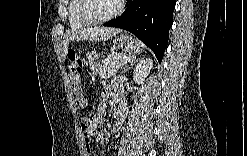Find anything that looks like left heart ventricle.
Returning a JSON list of instances; mask_svg holds the SVG:
<instances>
[{
  "label": "left heart ventricle",
  "instance_id": "obj_1",
  "mask_svg": "<svg viewBox=\"0 0 247 156\" xmlns=\"http://www.w3.org/2000/svg\"><path fill=\"white\" fill-rule=\"evenodd\" d=\"M117 2L113 0L89 1L85 14L89 18H101L111 14Z\"/></svg>",
  "mask_w": 247,
  "mask_h": 156
}]
</instances>
